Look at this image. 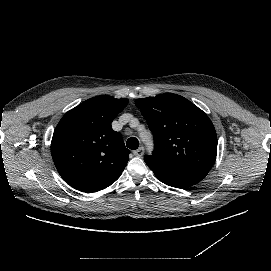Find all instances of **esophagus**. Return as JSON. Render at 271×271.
Instances as JSON below:
<instances>
[{
    "mask_svg": "<svg viewBox=\"0 0 271 271\" xmlns=\"http://www.w3.org/2000/svg\"><path fill=\"white\" fill-rule=\"evenodd\" d=\"M144 152H145V149H144L143 146H141V147H139L137 150H134V151H133V154H134L136 157H141V156H143Z\"/></svg>",
    "mask_w": 271,
    "mask_h": 271,
    "instance_id": "esophagus-1",
    "label": "esophagus"
}]
</instances>
